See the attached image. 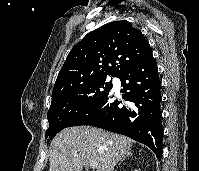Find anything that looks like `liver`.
<instances>
[{
	"mask_svg": "<svg viewBox=\"0 0 199 171\" xmlns=\"http://www.w3.org/2000/svg\"><path fill=\"white\" fill-rule=\"evenodd\" d=\"M133 140L90 126L62 130L50 145V171H82L95 164L97 171H113L130 150Z\"/></svg>",
	"mask_w": 199,
	"mask_h": 171,
	"instance_id": "6515ba94",
	"label": "liver"
}]
</instances>
